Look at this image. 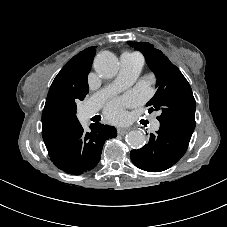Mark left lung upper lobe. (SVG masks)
I'll return each mask as SVG.
<instances>
[{
	"label": "left lung upper lobe",
	"mask_w": 227,
	"mask_h": 227,
	"mask_svg": "<svg viewBox=\"0 0 227 227\" xmlns=\"http://www.w3.org/2000/svg\"><path fill=\"white\" fill-rule=\"evenodd\" d=\"M128 44L143 53L157 78V91L146 104L151 107L149 111H158L159 121H175L195 128L196 102L192 89L180 70L152 44L132 41Z\"/></svg>",
	"instance_id": "1"
}]
</instances>
